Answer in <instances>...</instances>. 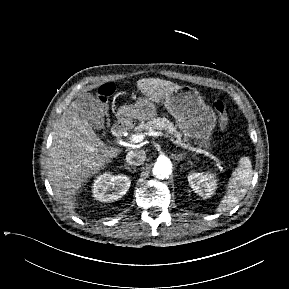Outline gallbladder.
<instances>
[{
	"label": "gallbladder",
	"instance_id": "1",
	"mask_svg": "<svg viewBox=\"0 0 289 289\" xmlns=\"http://www.w3.org/2000/svg\"><path fill=\"white\" fill-rule=\"evenodd\" d=\"M79 112L95 130L104 128V111L101 104L90 93H85L77 99Z\"/></svg>",
	"mask_w": 289,
	"mask_h": 289
}]
</instances>
